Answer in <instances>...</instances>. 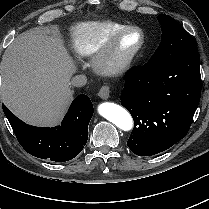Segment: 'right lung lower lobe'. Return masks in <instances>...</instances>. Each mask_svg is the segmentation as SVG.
<instances>
[{"label": "right lung lower lobe", "mask_w": 209, "mask_h": 209, "mask_svg": "<svg viewBox=\"0 0 209 209\" xmlns=\"http://www.w3.org/2000/svg\"><path fill=\"white\" fill-rule=\"evenodd\" d=\"M2 107L19 143L35 157L56 162L68 161L76 157L87 142L88 124L93 115V105L87 95H78L61 125L52 128L30 126L5 105Z\"/></svg>", "instance_id": "98d812e1"}]
</instances>
